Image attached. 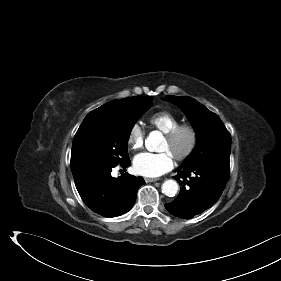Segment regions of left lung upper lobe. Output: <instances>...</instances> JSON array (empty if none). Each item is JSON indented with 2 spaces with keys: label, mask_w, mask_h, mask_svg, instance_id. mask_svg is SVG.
Listing matches in <instances>:
<instances>
[{
  "label": "left lung upper lobe",
  "mask_w": 281,
  "mask_h": 281,
  "mask_svg": "<svg viewBox=\"0 0 281 281\" xmlns=\"http://www.w3.org/2000/svg\"><path fill=\"white\" fill-rule=\"evenodd\" d=\"M165 100L182 108L197 133V146L182 166L206 161L229 162L231 136L215 113L190 97L168 95Z\"/></svg>",
  "instance_id": "obj_1"
}]
</instances>
